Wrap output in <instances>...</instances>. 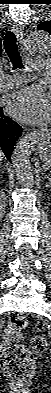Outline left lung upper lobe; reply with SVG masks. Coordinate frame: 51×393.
Here are the masks:
<instances>
[{"label": "left lung upper lobe", "instance_id": "obj_1", "mask_svg": "<svg viewBox=\"0 0 51 393\" xmlns=\"http://www.w3.org/2000/svg\"><path fill=\"white\" fill-rule=\"evenodd\" d=\"M37 28L39 30L47 31L51 34V20L40 23Z\"/></svg>", "mask_w": 51, "mask_h": 393}]
</instances>
